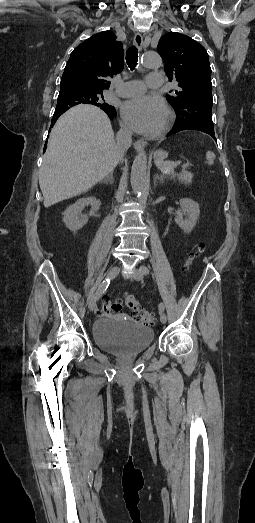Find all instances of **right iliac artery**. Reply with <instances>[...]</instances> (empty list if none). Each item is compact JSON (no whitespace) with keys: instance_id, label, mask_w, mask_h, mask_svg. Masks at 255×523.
Instances as JSON below:
<instances>
[{"instance_id":"right-iliac-artery-1","label":"right iliac artery","mask_w":255,"mask_h":523,"mask_svg":"<svg viewBox=\"0 0 255 523\" xmlns=\"http://www.w3.org/2000/svg\"><path fill=\"white\" fill-rule=\"evenodd\" d=\"M109 284H110V279L109 278H107L106 280H104L100 284V286H99V288H98V290H97V292L95 294L97 299L106 291V289L108 288Z\"/></svg>"}]
</instances>
